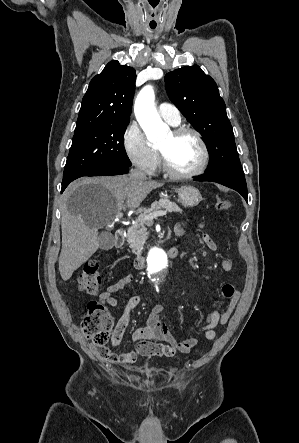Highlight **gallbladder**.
Instances as JSON below:
<instances>
[{"mask_svg":"<svg viewBox=\"0 0 299 443\" xmlns=\"http://www.w3.org/2000/svg\"><path fill=\"white\" fill-rule=\"evenodd\" d=\"M99 247L102 250H109L112 248L113 244H114V237L113 235L108 232H102L99 236Z\"/></svg>","mask_w":299,"mask_h":443,"instance_id":"1","label":"gallbladder"}]
</instances>
